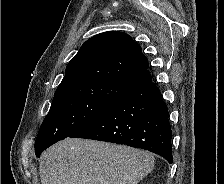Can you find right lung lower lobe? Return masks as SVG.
Here are the masks:
<instances>
[{"label":"right lung lower lobe","mask_w":224,"mask_h":184,"mask_svg":"<svg viewBox=\"0 0 224 184\" xmlns=\"http://www.w3.org/2000/svg\"><path fill=\"white\" fill-rule=\"evenodd\" d=\"M68 137L141 148L173 162L168 109L152 81L132 87L100 116Z\"/></svg>","instance_id":"98d812e1"}]
</instances>
